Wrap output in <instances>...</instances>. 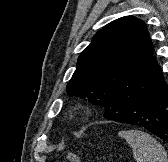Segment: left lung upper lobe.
Returning <instances> with one entry per match:
<instances>
[{
    "label": "left lung upper lobe",
    "instance_id": "1",
    "mask_svg": "<svg viewBox=\"0 0 168 162\" xmlns=\"http://www.w3.org/2000/svg\"><path fill=\"white\" fill-rule=\"evenodd\" d=\"M154 50L142 20L125 16L99 30L80 54L69 96L88 99L105 108L114 89L126 81Z\"/></svg>",
    "mask_w": 168,
    "mask_h": 162
}]
</instances>
